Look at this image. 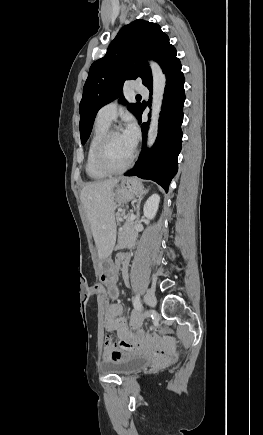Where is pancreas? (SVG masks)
<instances>
[{
    "mask_svg": "<svg viewBox=\"0 0 263 435\" xmlns=\"http://www.w3.org/2000/svg\"><path fill=\"white\" fill-rule=\"evenodd\" d=\"M135 224L136 221H131L129 216L125 224L119 229L117 248H125L136 240L138 234L134 230Z\"/></svg>",
    "mask_w": 263,
    "mask_h": 435,
    "instance_id": "pancreas-1",
    "label": "pancreas"
}]
</instances>
